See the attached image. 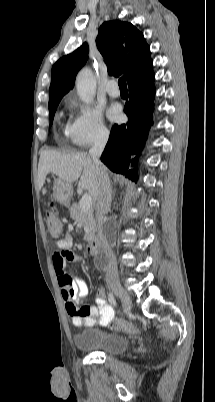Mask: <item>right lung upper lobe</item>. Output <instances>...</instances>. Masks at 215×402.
<instances>
[{
	"label": "right lung upper lobe",
	"instance_id": "right-lung-upper-lobe-1",
	"mask_svg": "<svg viewBox=\"0 0 215 402\" xmlns=\"http://www.w3.org/2000/svg\"><path fill=\"white\" fill-rule=\"evenodd\" d=\"M97 48L105 59L109 75L123 73L128 85L154 74L150 47L143 34L131 23L104 22L96 38ZM88 44L60 58L52 67L49 102L62 98L74 87L80 68L88 59Z\"/></svg>",
	"mask_w": 215,
	"mask_h": 402
}]
</instances>
